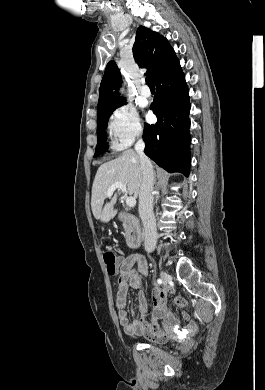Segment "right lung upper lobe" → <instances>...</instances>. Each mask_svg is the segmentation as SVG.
<instances>
[{
	"mask_svg": "<svg viewBox=\"0 0 265 390\" xmlns=\"http://www.w3.org/2000/svg\"><path fill=\"white\" fill-rule=\"evenodd\" d=\"M133 53L139 67L147 68L146 74H150L154 81L178 62L167 39L144 26L137 30ZM121 82L116 63L110 61L100 84L97 117L125 103L118 95Z\"/></svg>",
	"mask_w": 265,
	"mask_h": 390,
	"instance_id": "1",
	"label": "right lung upper lobe"
}]
</instances>
